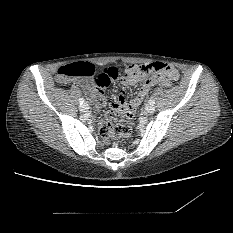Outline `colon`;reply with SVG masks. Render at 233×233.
Returning a JSON list of instances; mask_svg holds the SVG:
<instances>
[{"instance_id":"1","label":"colon","mask_w":233,"mask_h":233,"mask_svg":"<svg viewBox=\"0 0 233 233\" xmlns=\"http://www.w3.org/2000/svg\"><path fill=\"white\" fill-rule=\"evenodd\" d=\"M173 67L169 64L157 62L151 65L131 64L126 67L125 75L130 78L146 80L150 82L157 73L172 74ZM97 74L96 67L89 61H79L60 67L57 70L56 81L65 84L72 78H91ZM101 72L97 74L98 81ZM134 114V108L127 107L123 111H108L98 123V130L103 138H129L131 126L127 119ZM115 122L116 125H112Z\"/></svg>"}]
</instances>
